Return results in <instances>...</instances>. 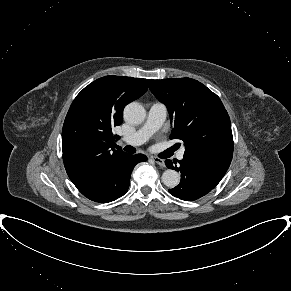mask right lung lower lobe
<instances>
[{
	"instance_id": "obj_1",
	"label": "right lung lower lobe",
	"mask_w": 291,
	"mask_h": 291,
	"mask_svg": "<svg viewBox=\"0 0 291 291\" xmlns=\"http://www.w3.org/2000/svg\"><path fill=\"white\" fill-rule=\"evenodd\" d=\"M147 157L143 154L130 155L124 153L113 158L91 185L81 193L88 199L108 203L126 194L134 166L144 162Z\"/></svg>"
}]
</instances>
